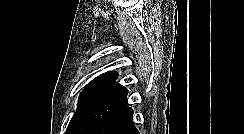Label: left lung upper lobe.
<instances>
[{"mask_svg":"<svg viewBox=\"0 0 244 134\" xmlns=\"http://www.w3.org/2000/svg\"><path fill=\"white\" fill-rule=\"evenodd\" d=\"M117 77V72L109 71L84 87L66 134H94L103 122L127 105L128 90L115 82Z\"/></svg>","mask_w":244,"mask_h":134,"instance_id":"left-lung-upper-lobe-1","label":"left lung upper lobe"}]
</instances>
